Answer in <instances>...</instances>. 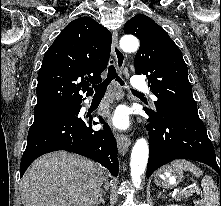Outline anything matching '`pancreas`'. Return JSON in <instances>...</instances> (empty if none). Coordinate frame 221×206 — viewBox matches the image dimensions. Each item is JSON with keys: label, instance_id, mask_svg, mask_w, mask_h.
<instances>
[{"label": "pancreas", "instance_id": "obj_1", "mask_svg": "<svg viewBox=\"0 0 221 206\" xmlns=\"http://www.w3.org/2000/svg\"><path fill=\"white\" fill-rule=\"evenodd\" d=\"M189 196H190V192H181V193L178 195L177 199H178V200H181V199H184V198H188Z\"/></svg>", "mask_w": 221, "mask_h": 206}]
</instances>
